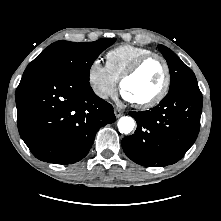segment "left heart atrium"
Masks as SVG:
<instances>
[{"instance_id": "1", "label": "left heart atrium", "mask_w": 221, "mask_h": 221, "mask_svg": "<svg viewBox=\"0 0 221 221\" xmlns=\"http://www.w3.org/2000/svg\"><path fill=\"white\" fill-rule=\"evenodd\" d=\"M122 97H123L125 100L129 101V102H133L132 98H131V97L129 96V94H128L126 91H124V90H123V92H122Z\"/></svg>"}]
</instances>
